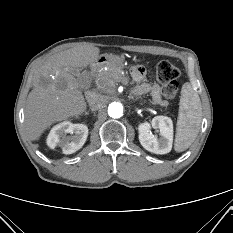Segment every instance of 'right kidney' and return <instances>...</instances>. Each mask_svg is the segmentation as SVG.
Wrapping results in <instances>:
<instances>
[{
	"label": "right kidney",
	"mask_w": 233,
	"mask_h": 233,
	"mask_svg": "<svg viewBox=\"0 0 233 233\" xmlns=\"http://www.w3.org/2000/svg\"><path fill=\"white\" fill-rule=\"evenodd\" d=\"M87 136L88 127L85 124L64 121L51 129L47 137V145L52 149L60 146L64 154H72L82 148Z\"/></svg>",
	"instance_id": "ca27d5eb"
}]
</instances>
